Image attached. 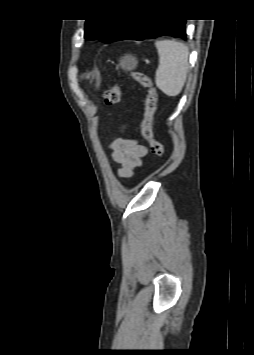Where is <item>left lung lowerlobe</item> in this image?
I'll return each mask as SVG.
<instances>
[{
    "mask_svg": "<svg viewBox=\"0 0 254 355\" xmlns=\"http://www.w3.org/2000/svg\"><path fill=\"white\" fill-rule=\"evenodd\" d=\"M186 21L184 19H141L132 18L116 41L173 36L186 39Z\"/></svg>",
    "mask_w": 254,
    "mask_h": 355,
    "instance_id": "0a47b994",
    "label": "left lung lower lobe"
}]
</instances>
